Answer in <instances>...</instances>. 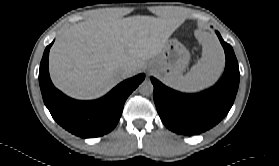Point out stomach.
<instances>
[{
  "label": "stomach",
  "mask_w": 279,
  "mask_h": 166,
  "mask_svg": "<svg viewBox=\"0 0 279 166\" xmlns=\"http://www.w3.org/2000/svg\"><path fill=\"white\" fill-rule=\"evenodd\" d=\"M190 60L188 50L176 39L166 42L162 51L151 60L154 70L163 74L167 83L182 75Z\"/></svg>",
  "instance_id": "0dacf381"
}]
</instances>
